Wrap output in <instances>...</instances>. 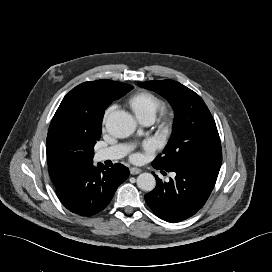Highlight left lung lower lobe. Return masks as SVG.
<instances>
[{
  "label": "left lung lower lobe",
  "instance_id": "0a47b994",
  "mask_svg": "<svg viewBox=\"0 0 272 272\" xmlns=\"http://www.w3.org/2000/svg\"><path fill=\"white\" fill-rule=\"evenodd\" d=\"M164 170L175 172V178L163 183L155 175L157 185L145 195V201L159 218L177 223L191 217L203 207L213 190L220 167L189 165Z\"/></svg>",
  "mask_w": 272,
  "mask_h": 272
}]
</instances>
